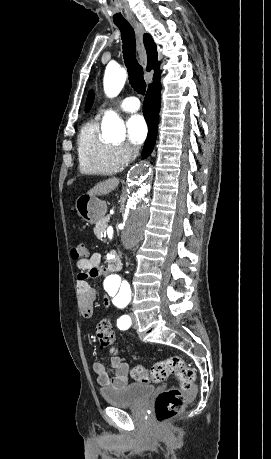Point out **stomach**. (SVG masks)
Wrapping results in <instances>:
<instances>
[{"label": "stomach", "mask_w": 271, "mask_h": 459, "mask_svg": "<svg viewBox=\"0 0 271 459\" xmlns=\"http://www.w3.org/2000/svg\"><path fill=\"white\" fill-rule=\"evenodd\" d=\"M75 208L78 216L88 222V224H97L106 214V204L93 196H80L76 200Z\"/></svg>", "instance_id": "1"}]
</instances>
